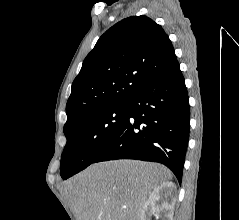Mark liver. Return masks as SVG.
<instances>
[{"instance_id": "1", "label": "liver", "mask_w": 239, "mask_h": 220, "mask_svg": "<svg viewBox=\"0 0 239 220\" xmlns=\"http://www.w3.org/2000/svg\"><path fill=\"white\" fill-rule=\"evenodd\" d=\"M171 179L156 163L113 160L90 165L64 191L76 220H140L152 190Z\"/></svg>"}]
</instances>
